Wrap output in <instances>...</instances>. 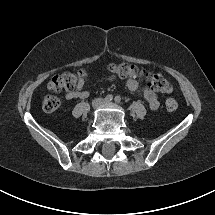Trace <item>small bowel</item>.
<instances>
[{
    "label": "small bowel",
    "mask_w": 215,
    "mask_h": 215,
    "mask_svg": "<svg viewBox=\"0 0 215 215\" xmlns=\"http://www.w3.org/2000/svg\"><path fill=\"white\" fill-rule=\"evenodd\" d=\"M87 77L88 74L86 72H83L77 83L76 88L66 93V99H84L89 96V92L83 89ZM126 85L130 91H136L139 86L138 81L135 78H129L127 80ZM143 95L150 109L156 110L159 108L160 103L158 97L152 89L146 88L143 92Z\"/></svg>",
    "instance_id": "obj_1"
}]
</instances>
